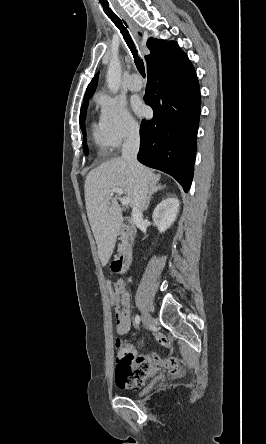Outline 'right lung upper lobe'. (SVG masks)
Wrapping results in <instances>:
<instances>
[{
    "instance_id": "right-lung-upper-lobe-1",
    "label": "right lung upper lobe",
    "mask_w": 266,
    "mask_h": 444,
    "mask_svg": "<svg viewBox=\"0 0 266 444\" xmlns=\"http://www.w3.org/2000/svg\"><path fill=\"white\" fill-rule=\"evenodd\" d=\"M147 47L151 51L149 55L145 56L147 70L175 61L184 55L183 51L174 41L167 42L165 40L150 38L147 41ZM98 76L99 73H97L89 83L84 100L90 99L94 94L98 83Z\"/></svg>"
}]
</instances>
